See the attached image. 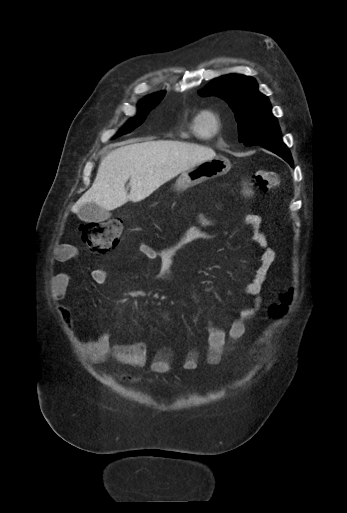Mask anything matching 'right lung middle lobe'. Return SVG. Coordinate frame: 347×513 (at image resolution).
<instances>
[{
	"mask_svg": "<svg viewBox=\"0 0 347 513\" xmlns=\"http://www.w3.org/2000/svg\"><path fill=\"white\" fill-rule=\"evenodd\" d=\"M164 95H165L164 92H160V93L148 96L146 99H144L140 103L138 115L136 117H134L132 120H130L125 125V127L120 130V132L117 134V137L134 130L137 126L142 124L144 122L147 114L159 104V102L162 100Z\"/></svg>",
	"mask_w": 347,
	"mask_h": 513,
	"instance_id": "dd1d6c3e",
	"label": "right lung middle lobe"
}]
</instances>
